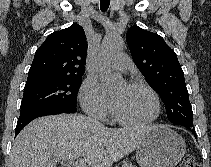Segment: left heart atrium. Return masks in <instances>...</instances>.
I'll return each mask as SVG.
<instances>
[{
    "mask_svg": "<svg viewBox=\"0 0 211 167\" xmlns=\"http://www.w3.org/2000/svg\"><path fill=\"white\" fill-rule=\"evenodd\" d=\"M112 103H113V107L115 108L116 105H117V99H114V100L112 101Z\"/></svg>",
    "mask_w": 211,
    "mask_h": 167,
    "instance_id": "obj_1",
    "label": "left heart atrium"
}]
</instances>
